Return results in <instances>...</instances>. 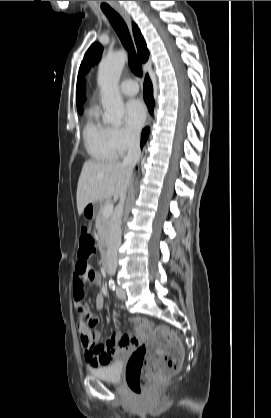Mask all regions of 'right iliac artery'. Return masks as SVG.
Listing matches in <instances>:
<instances>
[{
  "label": "right iliac artery",
  "mask_w": 271,
  "mask_h": 418,
  "mask_svg": "<svg viewBox=\"0 0 271 418\" xmlns=\"http://www.w3.org/2000/svg\"><path fill=\"white\" fill-rule=\"evenodd\" d=\"M109 288L114 290L115 289V282L114 281H109Z\"/></svg>",
  "instance_id": "82829eb1"
}]
</instances>
